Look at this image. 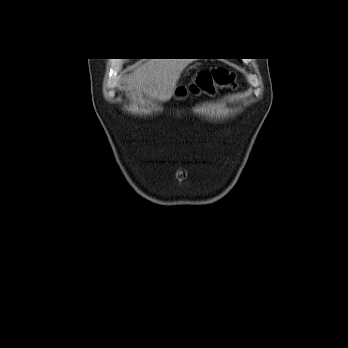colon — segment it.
I'll return each instance as SVG.
<instances>
[{
    "label": "colon",
    "instance_id": "1",
    "mask_svg": "<svg viewBox=\"0 0 348 348\" xmlns=\"http://www.w3.org/2000/svg\"><path fill=\"white\" fill-rule=\"evenodd\" d=\"M234 75L226 68L219 67L199 73L196 80L182 89L184 94H200L213 91L216 87H228L233 82Z\"/></svg>",
    "mask_w": 348,
    "mask_h": 348
}]
</instances>
